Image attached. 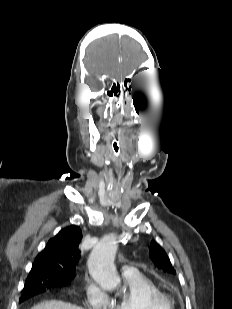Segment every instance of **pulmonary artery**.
<instances>
[{
	"label": "pulmonary artery",
	"mask_w": 232,
	"mask_h": 309,
	"mask_svg": "<svg viewBox=\"0 0 232 309\" xmlns=\"http://www.w3.org/2000/svg\"><path fill=\"white\" fill-rule=\"evenodd\" d=\"M137 270L132 267V266H129V265H122L121 266V273L122 275H128V274H132L134 272H136Z\"/></svg>",
	"instance_id": "1"
}]
</instances>
